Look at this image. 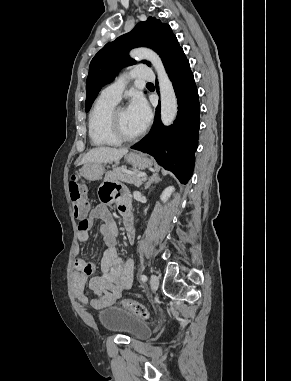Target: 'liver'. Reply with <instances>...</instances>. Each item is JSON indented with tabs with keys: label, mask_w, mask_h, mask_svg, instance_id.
Segmentation results:
<instances>
[{
	"label": "liver",
	"mask_w": 291,
	"mask_h": 381,
	"mask_svg": "<svg viewBox=\"0 0 291 381\" xmlns=\"http://www.w3.org/2000/svg\"><path fill=\"white\" fill-rule=\"evenodd\" d=\"M127 153L128 149L126 148L116 149L110 147H97L87 152L81 159L79 165H86L89 163H111L120 160Z\"/></svg>",
	"instance_id": "6515ba94"
}]
</instances>
